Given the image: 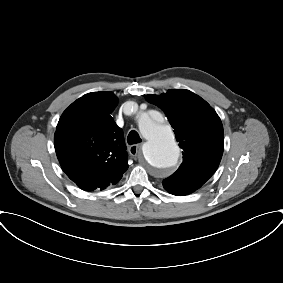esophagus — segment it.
I'll return each instance as SVG.
<instances>
[{
	"label": "esophagus",
	"mask_w": 283,
	"mask_h": 283,
	"mask_svg": "<svg viewBox=\"0 0 283 283\" xmlns=\"http://www.w3.org/2000/svg\"><path fill=\"white\" fill-rule=\"evenodd\" d=\"M140 149H141V144H134L129 146L128 151L131 156L137 157L141 155Z\"/></svg>",
	"instance_id": "obj_1"
}]
</instances>
